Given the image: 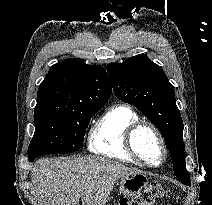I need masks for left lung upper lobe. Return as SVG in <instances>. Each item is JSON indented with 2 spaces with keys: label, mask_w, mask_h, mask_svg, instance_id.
Listing matches in <instances>:
<instances>
[{
  "label": "left lung upper lobe",
  "mask_w": 212,
  "mask_h": 205,
  "mask_svg": "<svg viewBox=\"0 0 212 205\" xmlns=\"http://www.w3.org/2000/svg\"><path fill=\"white\" fill-rule=\"evenodd\" d=\"M116 96L137 107L161 131L169 150L176 177L190 185L183 143V122L175 102L174 87L160 66L145 54L122 63L107 65Z\"/></svg>",
  "instance_id": "obj_1"
}]
</instances>
